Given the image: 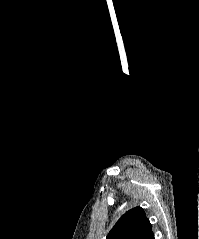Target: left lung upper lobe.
<instances>
[{"mask_svg": "<svg viewBox=\"0 0 199 239\" xmlns=\"http://www.w3.org/2000/svg\"><path fill=\"white\" fill-rule=\"evenodd\" d=\"M106 239H154V234L144 210L135 207L121 216Z\"/></svg>", "mask_w": 199, "mask_h": 239, "instance_id": "obj_1", "label": "left lung upper lobe"}]
</instances>
